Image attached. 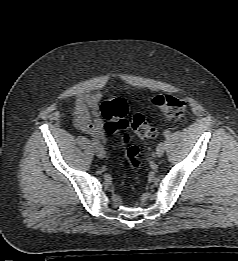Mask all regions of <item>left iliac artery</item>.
<instances>
[{
	"label": "left iliac artery",
	"instance_id": "left-iliac-artery-1",
	"mask_svg": "<svg viewBox=\"0 0 238 261\" xmlns=\"http://www.w3.org/2000/svg\"><path fill=\"white\" fill-rule=\"evenodd\" d=\"M169 135H170V131L166 130V131L164 132V136H165V137H169Z\"/></svg>",
	"mask_w": 238,
	"mask_h": 261
}]
</instances>
